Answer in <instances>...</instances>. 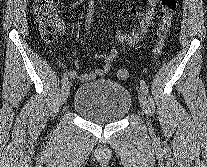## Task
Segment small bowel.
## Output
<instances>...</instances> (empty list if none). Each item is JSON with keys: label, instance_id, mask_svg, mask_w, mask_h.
I'll list each match as a JSON object with an SVG mask.
<instances>
[{"label": "small bowel", "instance_id": "1", "mask_svg": "<svg viewBox=\"0 0 207 167\" xmlns=\"http://www.w3.org/2000/svg\"><path fill=\"white\" fill-rule=\"evenodd\" d=\"M130 4V9L133 15H135L137 19V24L130 31H122L118 30L116 33V37L118 40L122 42H126L128 45L135 44L150 28L153 15L155 13V7L158 0H148V7L144 12H140L137 7L134 5L132 0H128ZM95 12V3L92 2L88 9V14L86 18L85 29L88 33H91V25L93 22ZM64 24L59 21L58 29L62 33L64 31ZM118 49L116 47H110L106 54H98L95 56L96 59L102 61V66L99 69L89 71L87 73L80 74L79 69V61L76 57L73 58L74 69L68 72L70 78L87 82L94 80L98 77H102L106 75L112 66V63L118 56Z\"/></svg>", "mask_w": 207, "mask_h": 167}]
</instances>
